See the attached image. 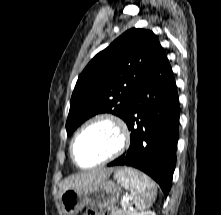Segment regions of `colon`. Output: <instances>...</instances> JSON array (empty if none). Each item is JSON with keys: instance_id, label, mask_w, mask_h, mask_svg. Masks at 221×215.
<instances>
[{"instance_id": "5ec220e1", "label": "colon", "mask_w": 221, "mask_h": 215, "mask_svg": "<svg viewBox=\"0 0 221 215\" xmlns=\"http://www.w3.org/2000/svg\"><path fill=\"white\" fill-rule=\"evenodd\" d=\"M83 215H110V214L105 211L99 210V209L91 208V209L85 210Z\"/></svg>"}]
</instances>
